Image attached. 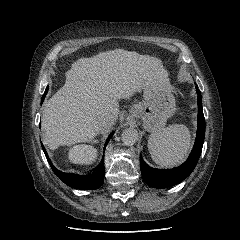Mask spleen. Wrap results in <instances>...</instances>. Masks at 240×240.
<instances>
[{
  "mask_svg": "<svg viewBox=\"0 0 240 240\" xmlns=\"http://www.w3.org/2000/svg\"><path fill=\"white\" fill-rule=\"evenodd\" d=\"M190 145V132L183 124L154 131L148 139V149L153 161L165 167L181 162L187 155Z\"/></svg>",
  "mask_w": 240,
  "mask_h": 240,
  "instance_id": "obj_1",
  "label": "spleen"
}]
</instances>
